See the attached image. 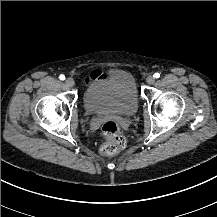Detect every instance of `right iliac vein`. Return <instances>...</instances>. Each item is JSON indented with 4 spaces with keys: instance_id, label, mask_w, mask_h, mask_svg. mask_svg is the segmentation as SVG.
Here are the masks:
<instances>
[{
    "instance_id": "63e3f726",
    "label": "right iliac vein",
    "mask_w": 217,
    "mask_h": 217,
    "mask_svg": "<svg viewBox=\"0 0 217 217\" xmlns=\"http://www.w3.org/2000/svg\"><path fill=\"white\" fill-rule=\"evenodd\" d=\"M65 85L68 87H72L74 85V79L73 78H67L65 80Z\"/></svg>"
}]
</instances>
